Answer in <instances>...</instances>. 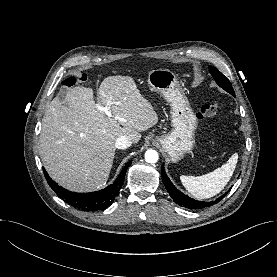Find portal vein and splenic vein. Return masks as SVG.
<instances>
[{
    "label": "portal vein and splenic vein",
    "instance_id": "obj_1",
    "mask_svg": "<svg viewBox=\"0 0 277 277\" xmlns=\"http://www.w3.org/2000/svg\"><path fill=\"white\" fill-rule=\"evenodd\" d=\"M110 103H108L106 106H99L98 110L105 112V114L108 117H112L111 111L109 109Z\"/></svg>",
    "mask_w": 277,
    "mask_h": 277
}]
</instances>
